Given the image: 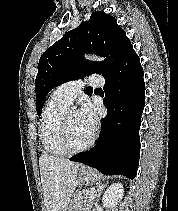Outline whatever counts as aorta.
<instances>
[{
    "label": "aorta",
    "instance_id": "762f6f07",
    "mask_svg": "<svg viewBox=\"0 0 178 211\" xmlns=\"http://www.w3.org/2000/svg\"><path fill=\"white\" fill-rule=\"evenodd\" d=\"M85 58L89 61H98V62H102L104 60L102 57L97 55H86Z\"/></svg>",
    "mask_w": 178,
    "mask_h": 211
}]
</instances>
